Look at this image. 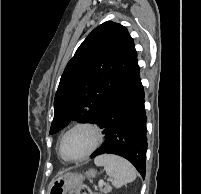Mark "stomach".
Wrapping results in <instances>:
<instances>
[{
  "mask_svg": "<svg viewBox=\"0 0 201 194\" xmlns=\"http://www.w3.org/2000/svg\"><path fill=\"white\" fill-rule=\"evenodd\" d=\"M96 171L91 169L86 172L85 176L76 173H67L55 178L50 185L49 194H67L68 191L78 187L85 177L93 178Z\"/></svg>",
  "mask_w": 201,
  "mask_h": 194,
  "instance_id": "obj_1",
  "label": "stomach"
}]
</instances>
